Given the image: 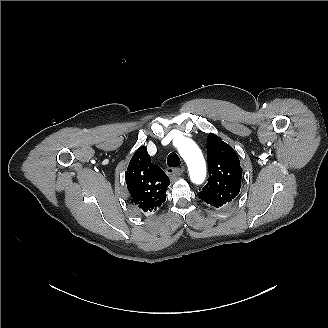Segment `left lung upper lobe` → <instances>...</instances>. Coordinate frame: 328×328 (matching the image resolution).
I'll list each match as a JSON object with an SVG mask.
<instances>
[{
    "label": "left lung upper lobe",
    "instance_id": "5c2ea615",
    "mask_svg": "<svg viewBox=\"0 0 328 328\" xmlns=\"http://www.w3.org/2000/svg\"><path fill=\"white\" fill-rule=\"evenodd\" d=\"M208 183L198 194L207 204L219 208L239 193L242 169L234 149L217 135H208Z\"/></svg>",
    "mask_w": 328,
    "mask_h": 328
}]
</instances>
